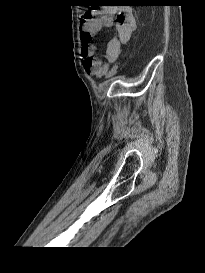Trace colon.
I'll use <instances>...</instances> for the list:
<instances>
[{
  "instance_id": "5ec220e1",
  "label": "colon",
  "mask_w": 205,
  "mask_h": 273,
  "mask_svg": "<svg viewBox=\"0 0 205 273\" xmlns=\"http://www.w3.org/2000/svg\"><path fill=\"white\" fill-rule=\"evenodd\" d=\"M117 70H118V65H114V66L112 67V69L110 70L108 76H109L110 78L114 77V76L116 75V73H117Z\"/></svg>"
}]
</instances>
